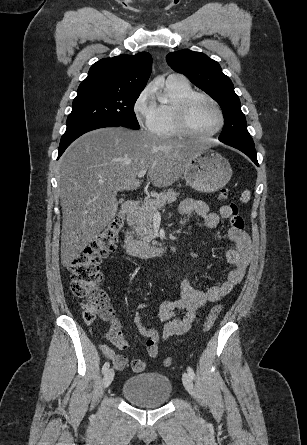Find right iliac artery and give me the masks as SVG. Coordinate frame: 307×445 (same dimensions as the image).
Returning a JSON list of instances; mask_svg holds the SVG:
<instances>
[{
	"instance_id": "right-iliac-artery-1",
	"label": "right iliac artery",
	"mask_w": 307,
	"mask_h": 445,
	"mask_svg": "<svg viewBox=\"0 0 307 445\" xmlns=\"http://www.w3.org/2000/svg\"><path fill=\"white\" fill-rule=\"evenodd\" d=\"M109 366H110L109 362H105V364L102 367V373H105L108 370Z\"/></svg>"
}]
</instances>
